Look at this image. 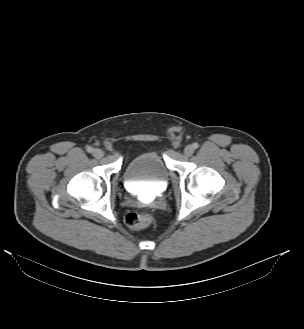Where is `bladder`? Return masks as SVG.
Returning <instances> with one entry per match:
<instances>
[{
	"instance_id": "obj_1",
	"label": "bladder",
	"mask_w": 304,
	"mask_h": 329,
	"mask_svg": "<svg viewBox=\"0 0 304 329\" xmlns=\"http://www.w3.org/2000/svg\"><path fill=\"white\" fill-rule=\"evenodd\" d=\"M124 181L127 185L150 183L165 186L169 170L164 159L157 152H142L131 158L123 168Z\"/></svg>"
}]
</instances>
